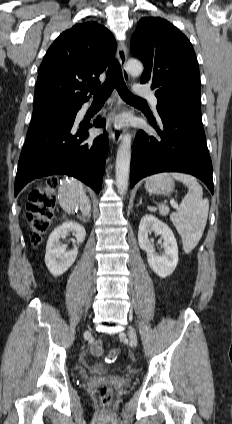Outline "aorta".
Returning a JSON list of instances; mask_svg holds the SVG:
<instances>
[{"label":"aorta","mask_w":232,"mask_h":424,"mask_svg":"<svg viewBox=\"0 0 232 424\" xmlns=\"http://www.w3.org/2000/svg\"><path fill=\"white\" fill-rule=\"evenodd\" d=\"M126 70L134 77H138L143 72V64L135 59H130L126 63ZM131 161V136L126 134L118 148L116 156V187L121 195H125L128 190L129 170Z\"/></svg>","instance_id":"aorta-1"}]
</instances>
